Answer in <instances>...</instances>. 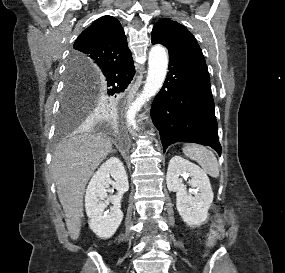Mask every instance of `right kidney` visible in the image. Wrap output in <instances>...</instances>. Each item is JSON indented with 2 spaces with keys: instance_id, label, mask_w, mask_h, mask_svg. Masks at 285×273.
<instances>
[{
  "instance_id": "1",
  "label": "right kidney",
  "mask_w": 285,
  "mask_h": 273,
  "mask_svg": "<svg viewBox=\"0 0 285 273\" xmlns=\"http://www.w3.org/2000/svg\"><path fill=\"white\" fill-rule=\"evenodd\" d=\"M109 185L117 190L116 195L108 196ZM128 189L126 171L117 157L109 158L92 176L86 190L85 208L90 219L89 227L98 237L107 239L116 232L123 219L121 199ZM105 199L112 203L110 211H106Z\"/></svg>"
}]
</instances>
